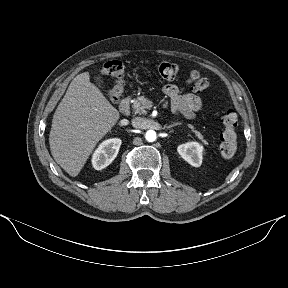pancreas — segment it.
Segmentation results:
<instances>
[{
  "instance_id": "obj_1",
  "label": "pancreas",
  "mask_w": 288,
  "mask_h": 288,
  "mask_svg": "<svg viewBox=\"0 0 288 288\" xmlns=\"http://www.w3.org/2000/svg\"><path fill=\"white\" fill-rule=\"evenodd\" d=\"M149 100L145 96L137 97L133 100L132 108L136 114H146V109L148 108ZM192 130L195 136L200 139L204 144H208L207 141L203 138V135L200 131L196 130L193 125H188Z\"/></svg>"
}]
</instances>
